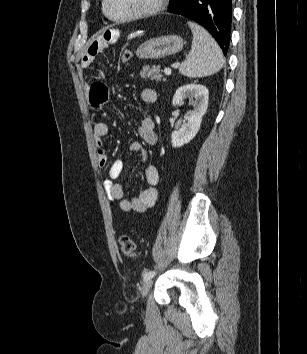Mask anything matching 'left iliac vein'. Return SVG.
Listing matches in <instances>:
<instances>
[{
  "label": "left iliac vein",
  "mask_w": 307,
  "mask_h": 354,
  "mask_svg": "<svg viewBox=\"0 0 307 354\" xmlns=\"http://www.w3.org/2000/svg\"><path fill=\"white\" fill-rule=\"evenodd\" d=\"M151 286H152V279H148L143 283V286L141 288V295L143 298L147 296Z\"/></svg>",
  "instance_id": "1"
}]
</instances>
